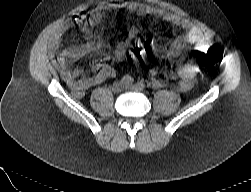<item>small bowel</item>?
Segmentation results:
<instances>
[{
	"label": "small bowel",
	"mask_w": 251,
	"mask_h": 192,
	"mask_svg": "<svg viewBox=\"0 0 251 192\" xmlns=\"http://www.w3.org/2000/svg\"><path fill=\"white\" fill-rule=\"evenodd\" d=\"M97 23L98 21L96 19L91 22L93 26ZM178 25L186 32L185 34L178 36L166 51L168 60L173 62L178 61L186 47L189 45H193V52L198 54L208 47L210 41V38L201 29L189 22L182 21L179 22ZM95 46L107 52H111L116 61H121L127 51L126 47L122 44L112 47L106 37H101L96 45L89 42L79 47L65 49L63 51V58L60 61V72L62 79L77 98L83 97L89 88L99 85L115 75L114 69L102 62L96 65V73L92 76L77 78L74 75L69 65L77 63ZM197 72L198 67L191 63L185 64L177 71V78L179 80L178 89L181 92H188L193 88V82ZM148 75L155 88L165 87L166 83L159 78L156 70H150Z\"/></svg>",
	"instance_id": "obj_1"
}]
</instances>
